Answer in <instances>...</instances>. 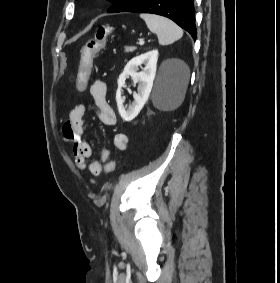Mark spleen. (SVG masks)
Listing matches in <instances>:
<instances>
[{
  "label": "spleen",
  "instance_id": "1",
  "mask_svg": "<svg viewBox=\"0 0 280 283\" xmlns=\"http://www.w3.org/2000/svg\"><path fill=\"white\" fill-rule=\"evenodd\" d=\"M148 29L158 37L160 45H169L183 36V30L170 19L155 15L141 14ZM189 80V69L185 66V74L182 80V87L185 89Z\"/></svg>",
  "mask_w": 280,
  "mask_h": 283
}]
</instances>
